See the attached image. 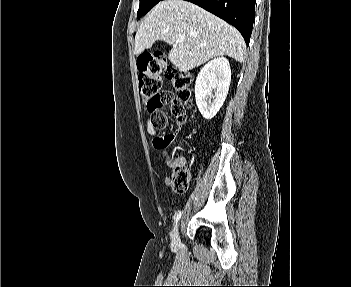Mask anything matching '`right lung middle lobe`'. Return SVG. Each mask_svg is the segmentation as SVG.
Returning a JSON list of instances; mask_svg holds the SVG:
<instances>
[{
  "label": "right lung middle lobe",
  "instance_id": "right-lung-middle-lobe-1",
  "mask_svg": "<svg viewBox=\"0 0 351 287\" xmlns=\"http://www.w3.org/2000/svg\"><path fill=\"white\" fill-rule=\"evenodd\" d=\"M161 0H140V7L137 12V18L148 13Z\"/></svg>",
  "mask_w": 351,
  "mask_h": 287
}]
</instances>
